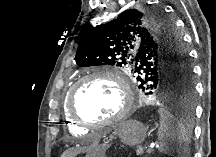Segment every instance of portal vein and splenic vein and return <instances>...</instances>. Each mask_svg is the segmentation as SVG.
I'll list each match as a JSON object with an SVG mask.
<instances>
[{
  "label": "portal vein and splenic vein",
  "mask_w": 216,
  "mask_h": 157,
  "mask_svg": "<svg viewBox=\"0 0 216 157\" xmlns=\"http://www.w3.org/2000/svg\"><path fill=\"white\" fill-rule=\"evenodd\" d=\"M153 148H154V145L152 144V145L148 146L147 151H148V152H151Z\"/></svg>",
  "instance_id": "portal-vein-and-splenic-vein-1"
}]
</instances>
